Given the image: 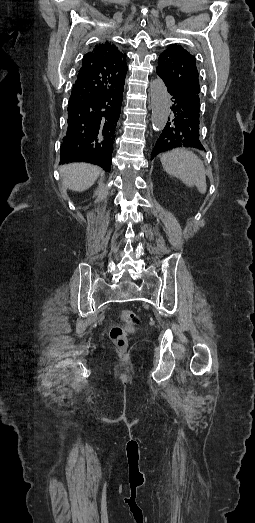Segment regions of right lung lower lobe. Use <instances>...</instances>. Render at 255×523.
I'll return each mask as SVG.
<instances>
[{"instance_id": "right-lung-lower-lobe-1", "label": "right lung lower lobe", "mask_w": 255, "mask_h": 523, "mask_svg": "<svg viewBox=\"0 0 255 523\" xmlns=\"http://www.w3.org/2000/svg\"><path fill=\"white\" fill-rule=\"evenodd\" d=\"M79 112L83 114V153H94V144L100 142V100L91 98L79 103Z\"/></svg>"}]
</instances>
